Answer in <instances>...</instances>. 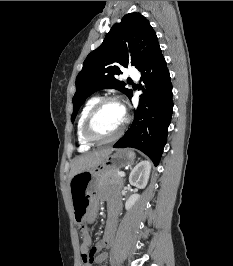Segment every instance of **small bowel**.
<instances>
[{"label": "small bowel", "instance_id": "c3829d8e", "mask_svg": "<svg viewBox=\"0 0 233 266\" xmlns=\"http://www.w3.org/2000/svg\"><path fill=\"white\" fill-rule=\"evenodd\" d=\"M109 205H110V212L113 210L115 213L118 211L119 208V201L115 198H110L109 199ZM98 209V199L95 198L92 201L90 211L88 214V221L93 222L96 217ZM115 215V214H114ZM114 215H112L106 225L105 231L103 238L97 242L94 246H91V236L90 232L88 229L84 228L82 230V242H81V256H82V261H83V255L90 253L92 255V260L89 264H85L84 266H93V264H102L106 261L107 259V253L102 252L104 248L110 247L115 231H116V220L114 218Z\"/></svg>", "mask_w": 233, "mask_h": 266}]
</instances>
